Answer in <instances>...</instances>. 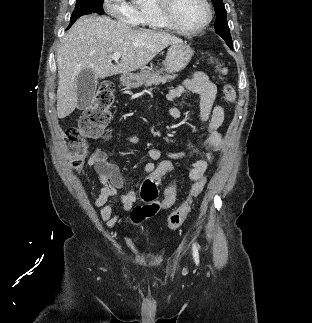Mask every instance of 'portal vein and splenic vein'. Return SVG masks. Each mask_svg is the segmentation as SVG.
I'll return each mask as SVG.
<instances>
[{"instance_id": "obj_1", "label": "portal vein and splenic vein", "mask_w": 312, "mask_h": 323, "mask_svg": "<svg viewBox=\"0 0 312 323\" xmlns=\"http://www.w3.org/2000/svg\"><path fill=\"white\" fill-rule=\"evenodd\" d=\"M122 54H119V52H114L111 56V60H114V62H118L119 58H121Z\"/></svg>"}]
</instances>
